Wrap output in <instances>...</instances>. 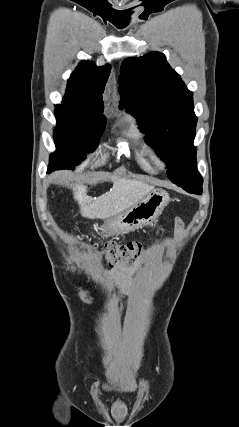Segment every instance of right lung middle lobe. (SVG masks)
Masks as SVG:
<instances>
[{
    "mask_svg": "<svg viewBox=\"0 0 239 427\" xmlns=\"http://www.w3.org/2000/svg\"><path fill=\"white\" fill-rule=\"evenodd\" d=\"M56 108L57 126L54 128L56 152L50 156L49 171L74 169L98 146L106 126L103 114L83 113L66 107Z\"/></svg>",
    "mask_w": 239,
    "mask_h": 427,
    "instance_id": "obj_1",
    "label": "right lung middle lobe"
}]
</instances>
